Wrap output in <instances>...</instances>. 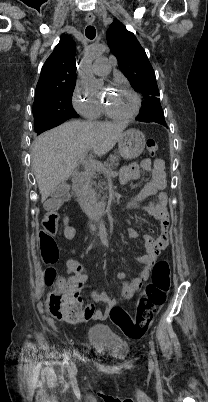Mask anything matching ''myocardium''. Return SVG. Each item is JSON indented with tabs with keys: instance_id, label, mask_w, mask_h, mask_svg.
<instances>
[{
	"instance_id": "f54148a6",
	"label": "myocardium",
	"mask_w": 208,
	"mask_h": 402,
	"mask_svg": "<svg viewBox=\"0 0 208 402\" xmlns=\"http://www.w3.org/2000/svg\"><path fill=\"white\" fill-rule=\"evenodd\" d=\"M120 90H123V91H126V92L130 93V94L135 98L136 104H135L134 110H133L132 112L128 113V114H120V113H118V112H116V111H114V110L112 109V107L110 106V104L106 101L105 96H100V95H99L98 98H99V100H100V102H101L102 108H103L109 115H111L112 117H114L115 119H118V120H129V119H132V118H134L135 116H137V115L139 114L140 110H141V107H142V98H141V96H140L135 90H133V89L127 87V86H121V87H120Z\"/></svg>"
}]
</instances>
